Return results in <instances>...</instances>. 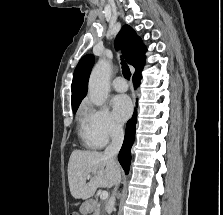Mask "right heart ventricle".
Returning <instances> with one entry per match:
<instances>
[{
  "label": "right heart ventricle",
  "instance_id": "obj_1",
  "mask_svg": "<svg viewBox=\"0 0 223 215\" xmlns=\"http://www.w3.org/2000/svg\"><path fill=\"white\" fill-rule=\"evenodd\" d=\"M80 136L82 140L90 147V148H98L101 147V144L90 134L87 128L83 124V111L80 114Z\"/></svg>",
  "mask_w": 223,
  "mask_h": 215
}]
</instances>
